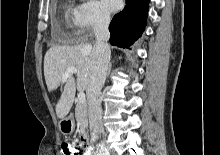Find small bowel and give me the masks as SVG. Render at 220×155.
I'll return each instance as SVG.
<instances>
[{
    "label": "small bowel",
    "instance_id": "c3829d8e",
    "mask_svg": "<svg viewBox=\"0 0 220 155\" xmlns=\"http://www.w3.org/2000/svg\"><path fill=\"white\" fill-rule=\"evenodd\" d=\"M77 142L75 140H64V145H88V140L86 136H77Z\"/></svg>",
    "mask_w": 220,
    "mask_h": 155
}]
</instances>
